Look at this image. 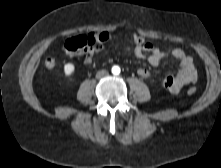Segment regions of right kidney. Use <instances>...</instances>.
<instances>
[{"mask_svg":"<svg viewBox=\"0 0 221 168\" xmlns=\"http://www.w3.org/2000/svg\"><path fill=\"white\" fill-rule=\"evenodd\" d=\"M75 71V66L72 63H67L64 65V73L66 76H71Z\"/></svg>","mask_w":221,"mask_h":168,"instance_id":"ca27d5eb","label":"right kidney"}]
</instances>
